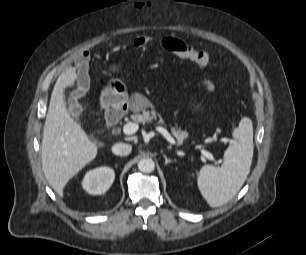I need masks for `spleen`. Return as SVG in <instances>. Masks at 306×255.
I'll use <instances>...</instances> for the list:
<instances>
[{
  "mask_svg": "<svg viewBox=\"0 0 306 255\" xmlns=\"http://www.w3.org/2000/svg\"><path fill=\"white\" fill-rule=\"evenodd\" d=\"M236 143L230 145L221 167L204 165L197 177L198 188L210 207L229 202L241 189L250 173L253 158V125L248 117L240 120L234 129Z\"/></svg>",
  "mask_w": 306,
  "mask_h": 255,
  "instance_id": "obj_1",
  "label": "spleen"
}]
</instances>
